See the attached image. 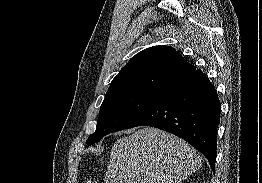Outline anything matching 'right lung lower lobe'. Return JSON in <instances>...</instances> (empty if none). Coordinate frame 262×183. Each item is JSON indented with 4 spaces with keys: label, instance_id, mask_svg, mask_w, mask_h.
Masks as SVG:
<instances>
[{
    "label": "right lung lower lobe",
    "instance_id": "1",
    "mask_svg": "<svg viewBox=\"0 0 262 183\" xmlns=\"http://www.w3.org/2000/svg\"><path fill=\"white\" fill-rule=\"evenodd\" d=\"M220 112L214 86L195 69L159 89L124 129L151 126L175 134L199 150L215 172Z\"/></svg>",
    "mask_w": 262,
    "mask_h": 183
}]
</instances>
